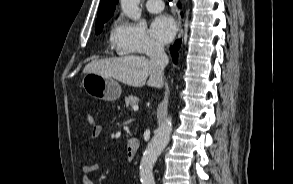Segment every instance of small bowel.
Instances as JSON below:
<instances>
[{"label": "small bowel", "instance_id": "small-bowel-1", "mask_svg": "<svg viewBox=\"0 0 293 184\" xmlns=\"http://www.w3.org/2000/svg\"><path fill=\"white\" fill-rule=\"evenodd\" d=\"M103 128L101 125L94 124L89 137V141L96 140L102 134ZM99 169V164L92 162L80 166L81 171V184H94L89 175Z\"/></svg>", "mask_w": 293, "mask_h": 184}]
</instances>
